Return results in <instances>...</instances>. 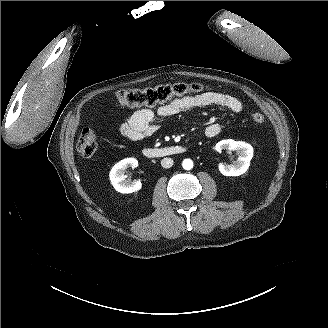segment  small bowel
I'll return each instance as SVG.
<instances>
[{
  "label": "small bowel",
  "mask_w": 328,
  "mask_h": 328,
  "mask_svg": "<svg viewBox=\"0 0 328 328\" xmlns=\"http://www.w3.org/2000/svg\"><path fill=\"white\" fill-rule=\"evenodd\" d=\"M211 106L228 109L235 113L243 110V103L233 95L221 92H204L172 99L156 110L147 108L136 110L118 125V132L125 138L139 141L154 134L159 129L157 118L171 117L182 112ZM221 130L220 124L211 123L206 127L205 134L214 138L221 133Z\"/></svg>",
  "instance_id": "1"
}]
</instances>
